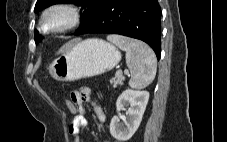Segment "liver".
I'll return each instance as SVG.
<instances>
[{
  "label": "liver",
  "mask_w": 227,
  "mask_h": 142,
  "mask_svg": "<svg viewBox=\"0 0 227 142\" xmlns=\"http://www.w3.org/2000/svg\"><path fill=\"white\" fill-rule=\"evenodd\" d=\"M78 40H71L68 43H66L64 46H62L59 51L57 52V54L59 53H63L70 45H72L73 43L77 42Z\"/></svg>",
  "instance_id": "6515ba94"
}]
</instances>
